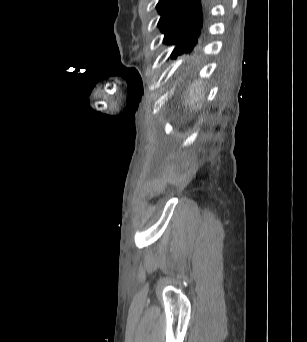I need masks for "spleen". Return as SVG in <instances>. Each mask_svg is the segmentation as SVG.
<instances>
[{"instance_id":"3e777b00","label":"spleen","mask_w":307,"mask_h":342,"mask_svg":"<svg viewBox=\"0 0 307 342\" xmlns=\"http://www.w3.org/2000/svg\"><path fill=\"white\" fill-rule=\"evenodd\" d=\"M202 84V80L194 82V84H191L189 92H187V108L190 110L191 114L200 113V108L197 107L196 104H201L204 100V88Z\"/></svg>"}]
</instances>
